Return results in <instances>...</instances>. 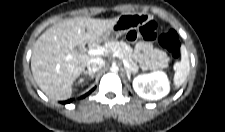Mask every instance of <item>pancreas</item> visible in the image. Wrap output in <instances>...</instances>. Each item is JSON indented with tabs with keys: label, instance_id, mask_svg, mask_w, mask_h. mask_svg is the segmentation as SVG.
<instances>
[{
	"label": "pancreas",
	"instance_id": "cf45deb5",
	"mask_svg": "<svg viewBox=\"0 0 225 132\" xmlns=\"http://www.w3.org/2000/svg\"><path fill=\"white\" fill-rule=\"evenodd\" d=\"M103 47L108 51L116 52L119 55H121L129 63L131 71H133L134 73L138 71L139 67L133 60V54H132L133 50L128 44H126L123 41L121 42L110 41V42H106ZM159 67L160 68L168 67L167 61H164L163 63H161Z\"/></svg>",
	"mask_w": 225,
	"mask_h": 132
}]
</instances>
